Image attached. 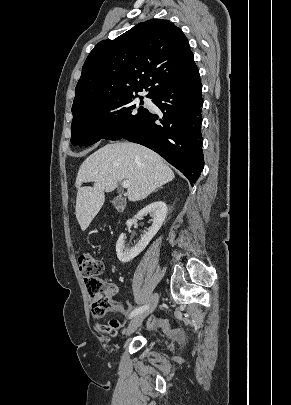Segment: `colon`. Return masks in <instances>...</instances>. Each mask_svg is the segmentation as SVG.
Returning <instances> with one entry per match:
<instances>
[{"label":"colon","instance_id":"1","mask_svg":"<svg viewBox=\"0 0 291 405\" xmlns=\"http://www.w3.org/2000/svg\"><path fill=\"white\" fill-rule=\"evenodd\" d=\"M79 270L84 279L90 309L93 315L103 316L111 307L109 296L110 285L101 277L104 266L103 262L91 253H82L78 258ZM155 323L167 334L178 335L179 330L170 327L167 319L153 318Z\"/></svg>","mask_w":291,"mask_h":405}]
</instances>
